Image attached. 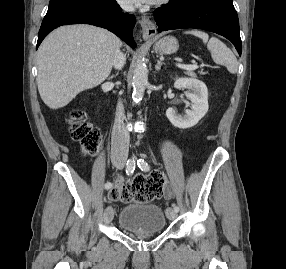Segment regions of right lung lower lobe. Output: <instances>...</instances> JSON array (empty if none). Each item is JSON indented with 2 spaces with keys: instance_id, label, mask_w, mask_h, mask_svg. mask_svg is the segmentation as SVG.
<instances>
[{
  "instance_id": "1",
  "label": "right lung lower lobe",
  "mask_w": 286,
  "mask_h": 269,
  "mask_svg": "<svg viewBox=\"0 0 286 269\" xmlns=\"http://www.w3.org/2000/svg\"><path fill=\"white\" fill-rule=\"evenodd\" d=\"M116 4L109 9L89 1H77L47 11L39 30L37 46L55 28L68 24H91L116 34L132 48L136 47L132 30L136 23L133 16L124 14Z\"/></svg>"
}]
</instances>
